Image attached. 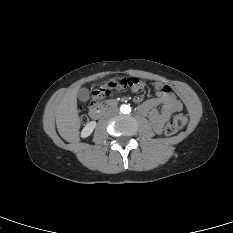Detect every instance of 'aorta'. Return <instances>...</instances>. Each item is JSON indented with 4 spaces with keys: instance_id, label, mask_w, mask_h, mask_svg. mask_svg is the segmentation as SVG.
<instances>
[{
    "instance_id": "762f6f07",
    "label": "aorta",
    "mask_w": 233,
    "mask_h": 233,
    "mask_svg": "<svg viewBox=\"0 0 233 233\" xmlns=\"http://www.w3.org/2000/svg\"><path fill=\"white\" fill-rule=\"evenodd\" d=\"M120 111H121V113H123V114H128V113L131 112V108H130V106L124 104V105H122V106L120 107Z\"/></svg>"
}]
</instances>
